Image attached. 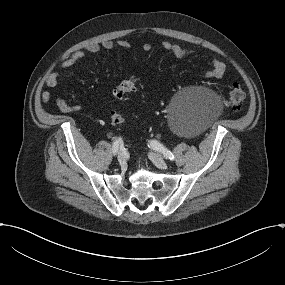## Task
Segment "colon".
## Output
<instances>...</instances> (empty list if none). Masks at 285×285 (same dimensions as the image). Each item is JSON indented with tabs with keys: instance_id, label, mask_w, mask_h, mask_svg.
<instances>
[{
	"instance_id": "obj_1",
	"label": "colon",
	"mask_w": 285,
	"mask_h": 285,
	"mask_svg": "<svg viewBox=\"0 0 285 285\" xmlns=\"http://www.w3.org/2000/svg\"><path fill=\"white\" fill-rule=\"evenodd\" d=\"M136 82L133 79H127L121 82L114 89V96L118 99H123L125 96L136 89ZM245 100V92L240 87L232 89L225 98V105L232 111L239 110ZM111 123L115 127H120L124 123V116L120 112H114L111 115Z\"/></svg>"
}]
</instances>
